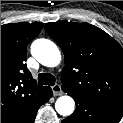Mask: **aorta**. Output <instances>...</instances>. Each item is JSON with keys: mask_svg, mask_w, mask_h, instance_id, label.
I'll return each mask as SVG.
<instances>
[{"mask_svg": "<svg viewBox=\"0 0 123 123\" xmlns=\"http://www.w3.org/2000/svg\"><path fill=\"white\" fill-rule=\"evenodd\" d=\"M31 53L42 65L55 67L60 63L61 54L54 42L48 39H37L31 45ZM55 109L62 116H69L74 112L75 102L72 97L65 95L56 100Z\"/></svg>", "mask_w": 123, "mask_h": 123, "instance_id": "1", "label": "aorta"}]
</instances>
